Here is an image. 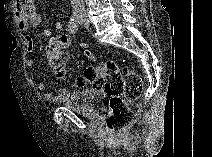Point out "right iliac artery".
I'll return each instance as SVG.
<instances>
[{"instance_id":"1","label":"right iliac artery","mask_w":212,"mask_h":157,"mask_svg":"<svg viewBox=\"0 0 212 157\" xmlns=\"http://www.w3.org/2000/svg\"><path fill=\"white\" fill-rule=\"evenodd\" d=\"M68 30L70 31V33H76L78 30V25L74 19V17H71V19L68 22Z\"/></svg>"}]
</instances>
